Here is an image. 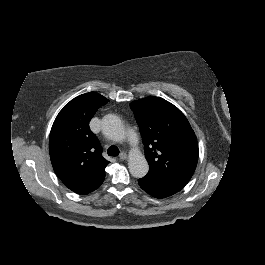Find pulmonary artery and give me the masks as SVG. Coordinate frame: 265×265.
<instances>
[{
  "mask_svg": "<svg viewBox=\"0 0 265 265\" xmlns=\"http://www.w3.org/2000/svg\"><path fill=\"white\" fill-rule=\"evenodd\" d=\"M113 139H114L115 141H119V142L123 140L121 136H119V137H113Z\"/></svg>",
  "mask_w": 265,
  "mask_h": 265,
  "instance_id": "e3ab8cb5",
  "label": "pulmonary artery"
}]
</instances>
